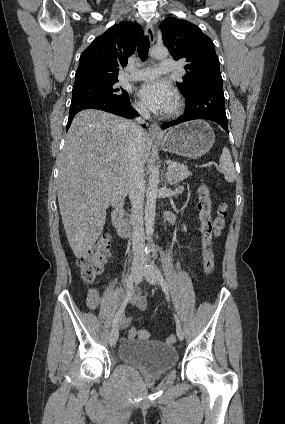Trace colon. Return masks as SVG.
Segmentation results:
<instances>
[{"label": "colon", "mask_w": 285, "mask_h": 424, "mask_svg": "<svg viewBox=\"0 0 285 424\" xmlns=\"http://www.w3.org/2000/svg\"><path fill=\"white\" fill-rule=\"evenodd\" d=\"M199 209L201 217L202 242L204 246L203 261L204 269L207 275L212 274L215 267L214 253L212 244L214 238L220 233L224 225V219L227 215V205L222 202L219 204L215 218L211 216V198L208 186L202 184L199 191ZM111 251V238L108 233H104L97 240L93 249L81 255L77 259L80 269L81 278L86 282L93 281L101 274L104 263ZM138 336L141 339L149 337L148 332L131 328L128 331V338L133 339ZM168 343H173L175 338L170 335L167 339Z\"/></svg>", "instance_id": "1"}]
</instances>
